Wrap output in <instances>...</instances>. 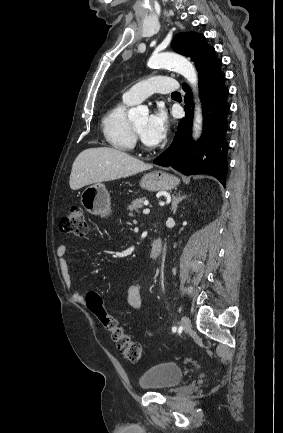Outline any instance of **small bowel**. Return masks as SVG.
I'll return each mask as SVG.
<instances>
[{"label":"small bowel","instance_id":"obj_1","mask_svg":"<svg viewBox=\"0 0 283 433\" xmlns=\"http://www.w3.org/2000/svg\"><path fill=\"white\" fill-rule=\"evenodd\" d=\"M56 254L59 262L60 273L67 287L72 284L71 275L69 271V264L67 258V247L65 245H60L56 249ZM142 286L139 283H134L129 286L127 291V301L128 304L133 309H139L142 306ZM72 300L78 304H84L85 298L80 292L72 293Z\"/></svg>","mask_w":283,"mask_h":433}]
</instances>
